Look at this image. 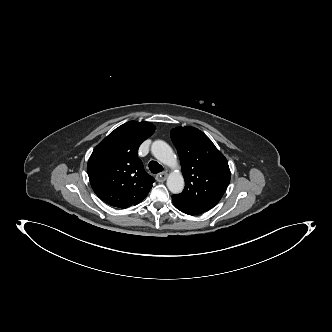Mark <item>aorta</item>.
<instances>
[{
	"label": "aorta",
	"instance_id": "obj_1",
	"mask_svg": "<svg viewBox=\"0 0 332 332\" xmlns=\"http://www.w3.org/2000/svg\"><path fill=\"white\" fill-rule=\"evenodd\" d=\"M153 156L161 163L174 168L177 157L172 148L162 140H156L151 145ZM167 187L173 194L181 193L184 189V178L179 170L172 171L167 179Z\"/></svg>",
	"mask_w": 332,
	"mask_h": 332
}]
</instances>
